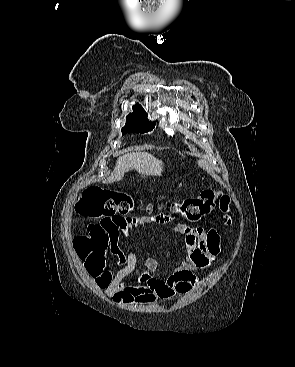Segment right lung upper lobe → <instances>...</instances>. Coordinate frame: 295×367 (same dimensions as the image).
Here are the masks:
<instances>
[{"label":"right lung upper lobe","mask_w":295,"mask_h":367,"mask_svg":"<svg viewBox=\"0 0 295 367\" xmlns=\"http://www.w3.org/2000/svg\"><path fill=\"white\" fill-rule=\"evenodd\" d=\"M141 107V105H139L138 103L135 105V106H133V111L134 110H136V109H138V108H140ZM131 114V113H130Z\"/></svg>","instance_id":"right-lung-upper-lobe-1"}]
</instances>
